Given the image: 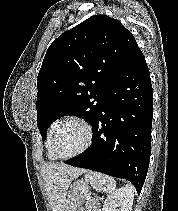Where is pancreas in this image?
Returning a JSON list of instances; mask_svg holds the SVG:
<instances>
[{
	"label": "pancreas",
	"mask_w": 178,
	"mask_h": 211,
	"mask_svg": "<svg viewBox=\"0 0 178 211\" xmlns=\"http://www.w3.org/2000/svg\"><path fill=\"white\" fill-rule=\"evenodd\" d=\"M87 205L93 208V211H97V208L99 207V202L97 198H92L87 201Z\"/></svg>",
	"instance_id": "obj_1"
}]
</instances>
